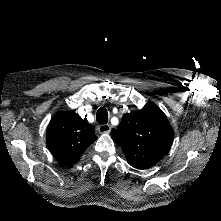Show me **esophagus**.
I'll return each mask as SVG.
<instances>
[{
	"label": "esophagus",
	"instance_id": "obj_1",
	"mask_svg": "<svg viewBox=\"0 0 221 221\" xmlns=\"http://www.w3.org/2000/svg\"><path fill=\"white\" fill-rule=\"evenodd\" d=\"M111 131V126L109 124L99 125L98 126V132L100 134H106Z\"/></svg>",
	"mask_w": 221,
	"mask_h": 221
}]
</instances>
